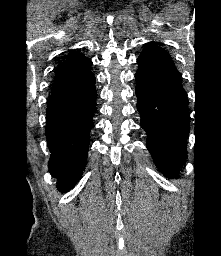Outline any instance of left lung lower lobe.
I'll use <instances>...</instances> for the list:
<instances>
[{
	"instance_id": "obj_1",
	"label": "left lung lower lobe",
	"mask_w": 221,
	"mask_h": 256,
	"mask_svg": "<svg viewBox=\"0 0 221 256\" xmlns=\"http://www.w3.org/2000/svg\"><path fill=\"white\" fill-rule=\"evenodd\" d=\"M137 110L146 131L147 149L167 177L187 156L189 110L180 74L176 69H138L135 74Z\"/></svg>"
}]
</instances>
